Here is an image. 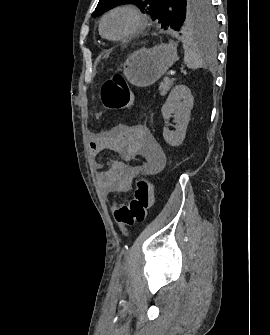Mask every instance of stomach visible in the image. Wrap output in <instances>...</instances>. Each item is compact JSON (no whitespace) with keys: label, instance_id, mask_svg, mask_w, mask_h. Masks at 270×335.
<instances>
[{"label":"stomach","instance_id":"stomach-1","mask_svg":"<svg viewBox=\"0 0 270 335\" xmlns=\"http://www.w3.org/2000/svg\"><path fill=\"white\" fill-rule=\"evenodd\" d=\"M176 60H178L176 42L159 44L149 50L140 48L127 56L123 64V74L133 86L146 88L155 84Z\"/></svg>","mask_w":270,"mask_h":335}]
</instances>
